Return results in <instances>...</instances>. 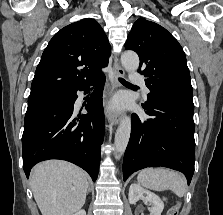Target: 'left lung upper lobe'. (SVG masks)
<instances>
[{
	"label": "left lung upper lobe",
	"instance_id": "1",
	"mask_svg": "<svg viewBox=\"0 0 223 215\" xmlns=\"http://www.w3.org/2000/svg\"><path fill=\"white\" fill-rule=\"evenodd\" d=\"M125 48L140 58L138 70L150 89L148 96L194 107L186 56L178 41L162 26L138 19L128 35Z\"/></svg>",
	"mask_w": 223,
	"mask_h": 215
}]
</instances>
